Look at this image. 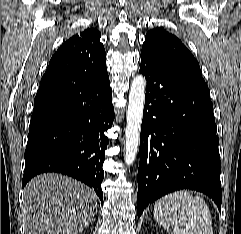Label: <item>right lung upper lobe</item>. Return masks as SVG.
Instances as JSON below:
<instances>
[{
    "mask_svg": "<svg viewBox=\"0 0 241 234\" xmlns=\"http://www.w3.org/2000/svg\"><path fill=\"white\" fill-rule=\"evenodd\" d=\"M97 29H86L64 42L49 62L37 94L82 84L107 70Z\"/></svg>",
    "mask_w": 241,
    "mask_h": 234,
    "instance_id": "obj_1",
    "label": "right lung upper lobe"
}]
</instances>
